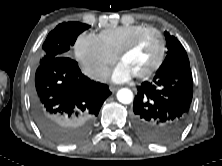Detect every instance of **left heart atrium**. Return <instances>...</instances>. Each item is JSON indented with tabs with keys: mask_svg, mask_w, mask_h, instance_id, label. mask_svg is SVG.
Listing matches in <instances>:
<instances>
[{
	"mask_svg": "<svg viewBox=\"0 0 222 166\" xmlns=\"http://www.w3.org/2000/svg\"><path fill=\"white\" fill-rule=\"evenodd\" d=\"M135 74L122 62L112 71L111 78L114 82L120 83L131 79Z\"/></svg>",
	"mask_w": 222,
	"mask_h": 166,
	"instance_id": "1",
	"label": "left heart atrium"
}]
</instances>
